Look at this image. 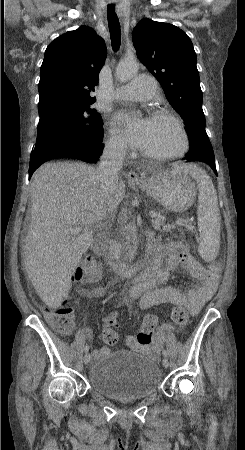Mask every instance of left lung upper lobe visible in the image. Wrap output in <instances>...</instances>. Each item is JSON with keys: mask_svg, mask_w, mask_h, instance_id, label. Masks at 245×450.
Segmentation results:
<instances>
[{"mask_svg": "<svg viewBox=\"0 0 245 450\" xmlns=\"http://www.w3.org/2000/svg\"><path fill=\"white\" fill-rule=\"evenodd\" d=\"M132 38L138 58L159 81L170 104L184 119L190 143L187 154L210 147L197 57L190 38L174 25L150 19L138 23Z\"/></svg>", "mask_w": 245, "mask_h": 450, "instance_id": "5c2ea615", "label": "left lung upper lobe"}]
</instances>
